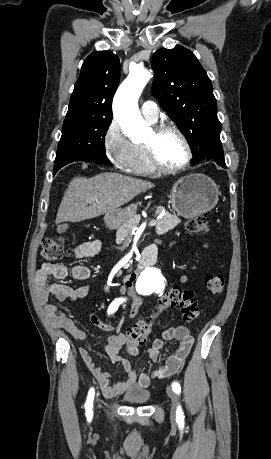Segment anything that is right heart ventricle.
<instances>
[{
  "instance_id": "right-heart-ventricle-1",
  "label": "right heart ventricle",
  "mask_w": 271,
  "mask_h": 459,
  "mask_svg": "<svg viewBox=\"0 0 271 459\" xmlns=\"http://www.w3.org/2000/svg\"><path fill=\"white\" fill-rule=\"evenodd\" d=\"M124 169L139 175L156 171L157 168L148 154L145 142H130V153Z\"/></svg>"
}]
</instances>
